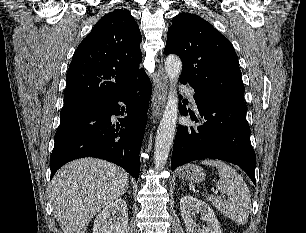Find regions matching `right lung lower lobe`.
Here are the masks:
<instances>
[{"mask_svg": "<svg viewBox=\"0 0 306 233\" xmlns=\"http://www.w3.org/2000/svg\"><path fill=\"white\" fill-rule=\"evenodd\" d=\"M151 82L146 74L117 98L60 115L50 157L51 178L67 162L96 157L123 167L138 179ZM127 108H121L118 102ZM127 114L114 122L113 115Z\"/></svg>", "mask_w": 306, "mask_h": 233, "instance_id": "1", "label": "right lung lower lobe"}]
</instances>
